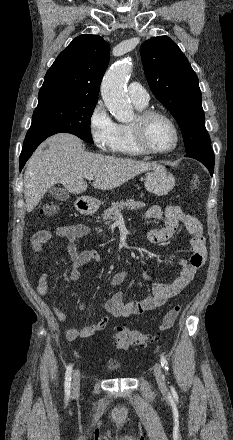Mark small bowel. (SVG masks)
I'll return each mask as SVG.
<instances>
[{
    "label": "small bowel",
    "instance_id": "small-bowel-1",
    "mask_svg": "<svg viewBox=\"0 0 233 440\" xmlns=\"http://www.w3.org/2000/svg\"><path fill=\"white\" fill-rule=\"evenodd\" d=\"M146 219H158L163 222L160 229H152L146 233V239L151 244H162L167 242L176 232L180 224L184 225L188 233L191 235L190 245L192 255L189 261L181 259L179 264L182 267L180 275L172 283L153 282L152 295L144 299L125 302L121 291L115 292L106 302L105 309L107 315L99 321L85 326H74L67 328L65 331L68 340L73 341L79 337H90L96 332L105 329L109 323L110 317L127 318L135 315H141L153 309L164 305L167 300L180 294L191 282L196 272L201 269L206 260L207 246L206 240L202 234V226L199 220L184 212L177 205H169L165 211L159 205H152L145 212ZM89 233L87 225L75 223L66 226H60L53 230H41L32 238L33 250L40 252L43 245L54 236H60L67 239V251L72 260L69 279L78 281L81 278V267L89 262L99 261L100 255L95 250L79 251L77 249V241ZM129 277L128 271H119L114 273L110 280V287L121 285ZM144 280L150 277L142 274ZM49 291V276L47 272H43L38 280L37 292L41 296H45ZM80 309L85 310L84 304L80 305ZM55 317L60 322H65L68 318L67 314L56 306L52 307Z\"/></svg>",
    "mask_w": 233,
    "mask_h": 440
}]
</instances>
